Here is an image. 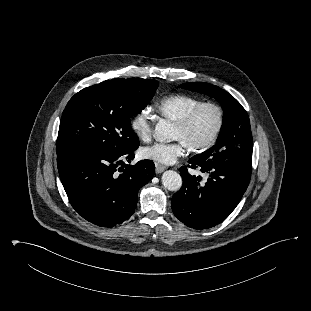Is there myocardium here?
<instances>
[{
    "mask_svg": "<svg viewBox=\"0 0 311 311\" xmlns=\"http://www.w3.org/2000/svg\"><path fill=\"white\" fill-rule=\"evenodd\" d=\"M205 109H212L215 111L217 116V121L215 128L211 135L202 143L189 145L188 148L195 152H200L209 149L214 145V143L219 138L225 122V114L223 108L215 103V102H203L202 104L198 105L192 111H190L184 118L176 123V126L183 131H187L192 124L195 122L197 117L200 115L202 111Z\"/></svg>",
    "mask_w": 311,
    "mask_h": 311,
    "instance_id": "f54148a6",
    "label": "myocardium"
}]
</instances>
